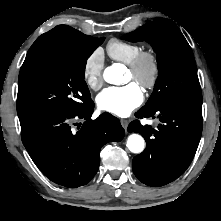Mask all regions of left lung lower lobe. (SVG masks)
I'll return each instance as SVG.
<instances>
[{"instance_id": "obj_1", "label": "left lung lower lobe", "mask_w": 221, "mask_h": 221, "mask_svg": "<svg viewBox=\"0 0 221 221\" xmlns=\"http://www.w3.org/2000/svg\"><path fill=\"white\" fill-rule=\"evenodd\" d=\"M137 118H157V129L131 122L129 132L140 133L146 140L145 150L133 158L135 176L154 187L177 179L189 167L202 134V106L174 101H158L142 107Z\"/></svg>"}]
</instances>
